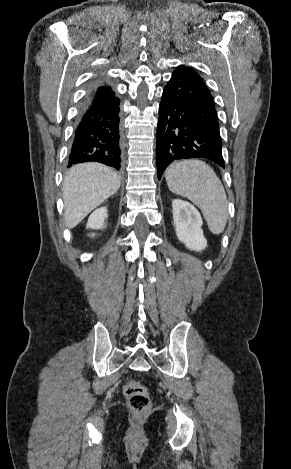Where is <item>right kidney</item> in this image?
I'll use <instances>...</instances> for the list:
<instances>
[{
	"mask_svg": "<svg viewBox=\"0 0 291 469\" xmlns=\"http://www.w3.org/2000/svg\"><path fill=\"white\" fill-rule=\"evenodd\" d=\"M107 217V208H99L90 215L86 227L92 229H103L105 227V220ZM91 236H94V234Z\"/></svg>",
	"mask_w": 291,
	"mask_h": 469,
	"instance_id": "1",
	"label": "right kidney"
}]
</instances>
